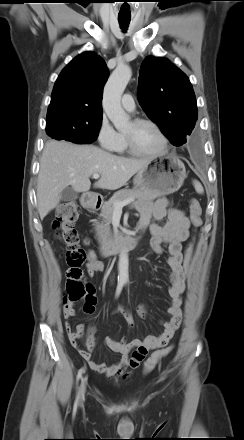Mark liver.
<instances>
[{"mask_svg": "<svg viewBox=\"0 0 244 440\" xmlns=\"http://www.w3.org/2000/svg\"><path fill=\"white\" fill-rule=\"evenodd\" d=\"M151 159H132L113 155L94 145H77L65 141L45 144L40 160L37 182V204L43 219L58 206L61 192L71 186L76 192L87 193L90 177L101 175L95 188L116 190L148 165Z\"/></svg>", "mask_w": 244, "mask_h": 440, "instance_id": "liver-1", "label": "liver"}]
</instances>
